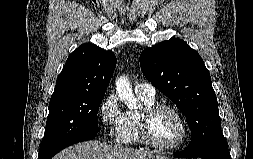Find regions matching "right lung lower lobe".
I'll return each mask as SVG.
<instances>
[{"instance_id":"obj_1","label":"right lung lower lobe","mask_w":253,"mask_h":159,"mask_svg":"<svg viewBox=\"0 0 253 159\" xmlns=\"http://www.w3.org/2000/svg\"><path fill=\"white\" fill-rule=\"evenodd\" d=\"M97 134H85V135H80L78 137H74L71 138L69 140H66L60 144H58L56 147H54L50 152H48L45 156H43L42 158H38V159H51L56 153H58L59 151H61L62 149L73 145L75 143L78 142H82V141H87L90 139H93Z\"/></svg>"}]
</instances>
